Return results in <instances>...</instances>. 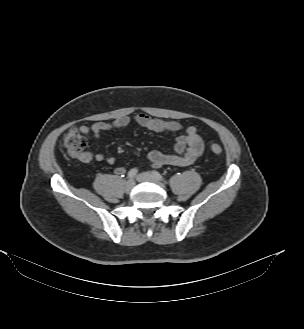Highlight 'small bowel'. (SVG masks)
Returning <instances> with one entry per match:
<instances>
[{
    "label": "small bowel",
    "instance_id": "small-bowel-1",
    "mask_svg": "<svg viewBox=\"0 0 304 329\" xmlns=\"http://www.w3.org/2000/svg\"><path fill=\"white\" fill-rule=\"evenodd\" d=\"M131 122L136 123L146 130L159 133L175 134L183 131L182 134L176 137L174 154H164L156 150L148 153V160L154 168L163 165H190L203 153L204 143L195 127L189 126L183 128V126L176 121L153 118L143 113L133 117L121 116L113 122H94L91 125H83L80 129L85 136L98 138L102 132L124 128ZM79 160L83 163H88L92 160L99 162L104 161L108 164L115 163L114 156H106L100 152H84ZM116 173L123 174L125 173V169L123 167H118Z\"/></svg>",
    "mask_w": 304,
    "mask_h": 329
}]
</instances>
